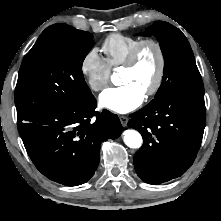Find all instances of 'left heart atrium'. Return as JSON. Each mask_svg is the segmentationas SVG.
Listing matches in <instances>:
<instances>
[{"label":"left heart atrium","instance_id":"1","mask_svg":"<svg viewBox=\"0 0 221 221\" xmlns=\"http://www.w3.org/2000/svg\"><path fill=\"white\" fill-rule=\"evenodd\" d=\"M145 93L134 83L106 89L99 97L101 107L116 113H128L141 105Z\"/></svg>","mask_w":221,"mask_h":221}]
</instances>
